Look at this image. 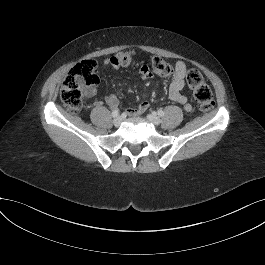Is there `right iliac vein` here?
I'll list each match as a JSON object with an SVG mask.
<instances>
[{
  "mask_svg": "<svg viewBox=\"0 0 265 265\" xmlns=\"http://www.w3.org/2000/svg\"><path fill=\"white\" fill-rule=\"evenodd\" d=\"M122 122V118L120 116L116 117L114 120H113V125L115 127H118Z\"/></svg>",
  "mask_w": 265,
  "mask_h": 265,
  "instance_id": "63e3f726",
  "label": "right iliac vein"
}]
</instances>
